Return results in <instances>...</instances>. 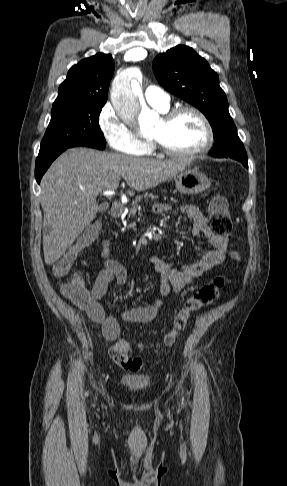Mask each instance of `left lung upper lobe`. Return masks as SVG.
<instances>
[{
  "label": "left lung upper lobe",
  "instance_id": "5c2ea615",
  "mask_svg": "<svg viewBox=\"0 0 287 486\" xmlns=\"http://www.w3.org/2000/svg\"><path fill=\"white\" fill-rule=\"evenodd\" d=\"M158 82L169 92L198 108L210 122L215 147L213 157L247 158L228 111V101L218 75L192 48L179 45L154 59Z\"/></svg>",
  "mask_w": 287,
  "mask_h": 486
}]
</instances>
